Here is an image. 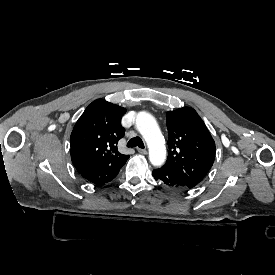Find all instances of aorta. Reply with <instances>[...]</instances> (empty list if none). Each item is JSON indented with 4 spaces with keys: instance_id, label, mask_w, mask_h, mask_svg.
<instances>
[{
    "instance_id": "762f6f07",
    "label": "aorta",
    "mask_w": 275,
    "mask_h": 275,
    "mask_svg": "<svg viewBox=\"0 0 275 275\" xmlns=\"http://www.w3.org/2000/svg\"><path fill=\"white\" fill-rule=\"evenodd\" d=\"M136 128L149 145V160L153 166H161L165 162L166 152L159 143L161 131L153 115L141 111L136 117Z\"/></svg>"
}]
</instances>
